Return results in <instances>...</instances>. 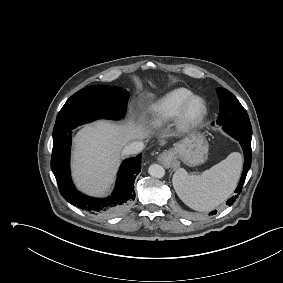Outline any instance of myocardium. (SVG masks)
Listing matches in <instances>:
<instances>
[{
	"label": "myocardium",
	"instance_id": "f54148a6",
	"mask_svg": "<svg viewBox=\"0 0 283 283\" xmlns=\"http://www.w3.org/2000/svg\"><path fill=\"white\" fill-rule=\"evenodd\" d=\"M196 104L197 108L192 111V106ZM207 114V103L199 95L191 94L181 105L177 116L176 124L179 132L186 133L202 123Z\"/></svg>",
	"mask_w": 283,
	"mask_h": 283
}]
</instances>
